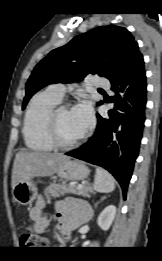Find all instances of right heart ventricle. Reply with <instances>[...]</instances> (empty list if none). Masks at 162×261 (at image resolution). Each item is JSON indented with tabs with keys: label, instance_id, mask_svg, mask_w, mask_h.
Masks as SVG:
<instances>
[{
	"label": "right heart ventricle",
	"instance_id": "e07e8e85",
	"mask_svg": "<svg viewBox=\"0 0 162 261\" xmlns=\"http://www.w3.org/2000/svg\"><path fill=\"white\" fill-rule=\"evenodd\" d=\"M60 101L61 98L48 89L36 93L30 100L24 115L22 129L25 145L29 149L47 152L54 148L47 134L46 119Z\"/></svg>",
	"mask_w": 162,
	"mask_h": 261
}]
</instances>
